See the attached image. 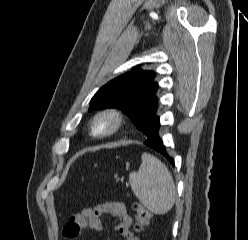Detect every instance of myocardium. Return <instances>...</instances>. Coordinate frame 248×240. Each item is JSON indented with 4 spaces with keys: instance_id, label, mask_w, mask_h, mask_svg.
<instances>
[{
    "instance_id": "myocardium-1",
    "label": "myocardium",
    "mask_w": 248,
    "mask_h": 240,
    "mask_svg": "<svg viewBox=\"0 0 248 240\" xmlns=\"http://www.w3.org/2000/svg\"><path fill=\"white\" fill-rule=\"evenodd\" d=\"M102 117H108L112 119L113 125L110 129L106 131L97 132L95 130V125L97 120ZM123 123H124V115L120 110L113 107L103 108L94 115L91 121V133L97 137H107L117 132L122 127Z\"/></svg>"
}]
</instances>
